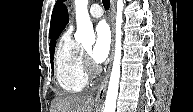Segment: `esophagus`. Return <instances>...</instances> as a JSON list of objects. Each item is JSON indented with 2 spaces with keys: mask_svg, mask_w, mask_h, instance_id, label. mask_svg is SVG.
Masks as SVG:
<instances>
[{
  "mask_svg": "<svg viewBox=\"0 0 193 112\" xmlns=\"http://www.w3.org/2000/svg\"><path fill=\"white\" fill-rule=\"evenodd\" d=\"M114 13H115V1L114 0H110V18H111V28H112V32L114 33ZM113 54V53H112ZM112 54H111V58H112ZM110 69H111V63L109 65L108 71L100 85L99 91L96 95V100L101 101L106 93V89H107V84H108V79H109V74H110Z\"/></svg>",
  "mask_w": 193,
  "mask_h": 112,
  "instance_id": "34e87169",
  "label": "esophagus"
}]
</instances>
